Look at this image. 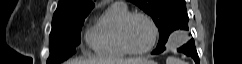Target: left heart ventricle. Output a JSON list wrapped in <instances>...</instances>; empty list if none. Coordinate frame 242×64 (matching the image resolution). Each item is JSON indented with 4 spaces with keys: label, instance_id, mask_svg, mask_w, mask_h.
Returning <instances> with one entry per match:
<instances>
[{
    "label": "left heart ventricle",
    "instance_id": "1",
    "mask_svg": "<svg viewBox=\"0 0 242 64\" xmlns=\"http://www.w3.org/2000/svg\"><path fill=\"white\" fill-rule=\"evenodd\" d=\"M127 41L135 50L146 48L152 40V29L147 20L134 17L130 20L127 31Z\"/></svg>",
    "mask_w": 242,
    "mask_h": 64
}]
</instances>
